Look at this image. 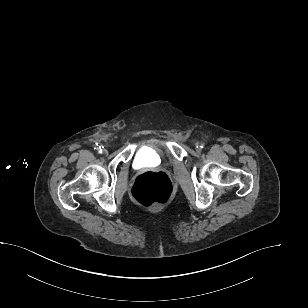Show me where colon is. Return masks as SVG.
Masks as SVG:
<instances>
[{
	"mask_svg": "<svg viewBox=\"0 0 308 308\" xmlns=\"http://www.w3.org/2000/svg\"><path fill=\"white\" fill-rule=\"evenodd\" d=\"M171 194L172 183L163 172H147L138 176L131 189L133 199L145 207L161 206Z\"/></svg>",
	"mask_w": 308,
	"mask_h": 308,
	"instance_id": "obj_1",
	"label": "colon"
}]
</instances>
